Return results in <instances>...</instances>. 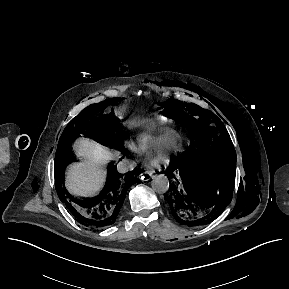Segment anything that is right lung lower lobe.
I'll list each match as a JSON object with an SVG mask.
<instances>
[{"mask_svg":"<svg viewBox=\"0 0 289 289\" xmlns=\"http://www.w3.org/2000/svg\"><path fill=\"white\" fill-rule=\"evenodd\" d=\"M114 147V145H112ZM68 164L75 158L72 151L66 154ZM64 170L60 174L55 173L56 190L59 199L66 206L67 210L80 224L93 231L104 229L114 224L119 218L122 205L128 188L139 181L141 170H133L127 175L117 171L114 162L108 165L107 180L102 192L92 198L77 199L65 188Z\"/></svg>","mask_w":289,"mask_h":289,"instance_id":"right-lung-lower-lobe-1","label":"right lung lower lobe"}]
</instances>
